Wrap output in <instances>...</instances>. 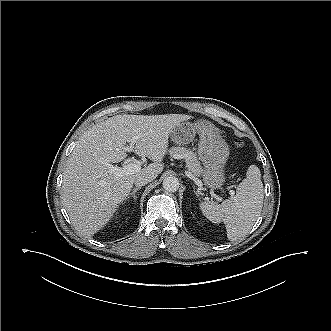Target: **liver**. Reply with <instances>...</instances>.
<instances>
[{"instance_id": "obj_1", "label": "liver", "mask_w": 331, "mask_h": 331, "mask_svg": "<svg viewBox=\"0 0 331 331\" xmlns=\"http://www.w3.org/2000/svg\"><path fill=\"white\" fill-rule=\"evenodd\" d=\"M188 119L191 116L184 114L117 115L86 131L67 160L62 185L67 212L84 235L95 234L109 222L138 176L154 180L163 171L168 138ZM132 141L135 153L153 163L132 175L109 173L108 164L124 160L130 150L126 144Z\"/></svg>"}]
</instances>
